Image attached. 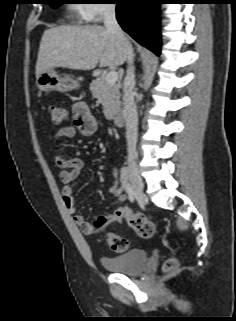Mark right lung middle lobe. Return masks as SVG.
I'll return each mask as SVG.
<instances>
[{
	"instance_id": "1",
	"label": "right lung middle lobe",
	"mask_w": 236,
	"mask_h": 321,
	"mask_svg": "<svg viewBox=\"0 0 236 321\" xmlns=\"http://www.w3.org/2000/svg\"><path fill=\"white\" fill-rule=\"evenodd\" d=\"M52 2H49V5L52 7V8H57L59 7L62 3H61V0H50Z\"/></svg>"
}]
</instances>
